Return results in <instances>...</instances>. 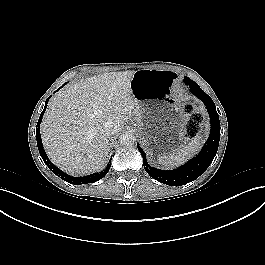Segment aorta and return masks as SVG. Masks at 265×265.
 <instances>
[{
  "label": "aorta",
  "mask_w": 265,
  "mask_h": 265,
  "mask_svg": "<svg viewBox=\"0 0 265 265\" xmlns=\"http://www.w3.org/2000/svg\"><path fill=\"white\" fill-rule=\"evenodd\" d=\"M120 143L123 146H131L135 142V136L131 132H125L120 136Z\"/></svg>",
  "instance_id": "762f6f07"
}]
</instances>
